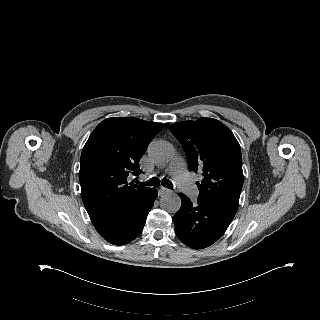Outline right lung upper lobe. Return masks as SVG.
Segmentation results:
<instances>
[{
  "instance_id": "cb5924a9",
  "label": "right lung upper lobe",
  "mask_w": 320,
  "mask_h": 320,
  "mask_svg": "<svg viewBox=\"0 0 320 320\" xmlns=\"http://www.w3.org/2000/svg\"><path fill=\"white\" fill-rule=\"evenodd\" d=\"M162 124L134 117L108 118L92 132L81 154L80 185L91 220L135 203L150 188L128 183Z\"/></svg>"
}]
</instances>
